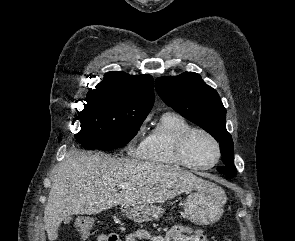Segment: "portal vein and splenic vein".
I'll list each match as a JSON object with an SVG mask.
<instances>
[{"instance_id": "portal-vein-and-splenic-vein-1", "label": "portal vein and splenic vein", "mask_w": 295, "mask_h": 241, "mask_svg": "<svg viewBox=\"0 0 295 241\" xmlns=\"http://www.w3.org/2000/svg\"><path fill=\"white\" fill-rule=\"evenodd\" d=\"M119 187L122 188V189H125V188H127L128 186H127L126 184H120Z\"/></svg>"}]
</instances>
